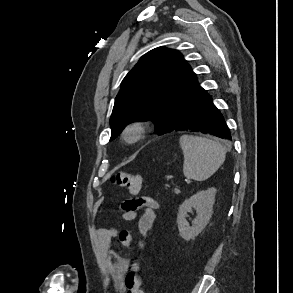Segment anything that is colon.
Returning <instances> with one entry per match:
<instances>
[{"label":"colon","instance_id":"1","mask_svg":"<svg viewBox=\"0 0 293 293\" xmlns=\"http://www.w3.org/2000/svg\"><path fill=\"white\" fill-rule=\"evenodd\" d=\"M112 184L126 188L129 192L137 194L142 188V177L131 172H116L110 178ZM140 264L133 263L132 269L125 277L126 293H144L142 280L138 273Z\"/></svg>","mask_w":293,"mask_h":293}]
</instances>
